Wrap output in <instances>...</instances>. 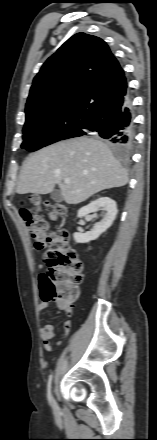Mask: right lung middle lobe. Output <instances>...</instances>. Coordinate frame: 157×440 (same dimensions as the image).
<instances>
[{"mask_svg":"<svg viewBox=\"0 0 157 440\" xmlns=\"http://www.w3.org/2000/svg\"><path fill=\"white\" fill-rule=\"evenodd\" d=\"M83 132L84 125L70 126L40 120L26 121L21 147L28 151H36L54 142L80 136Z\"/></svg>","mask_w":157,"mask_h":440,"instance_id":"obj_1","label":"right lung middle lobe"}]
</instances>
